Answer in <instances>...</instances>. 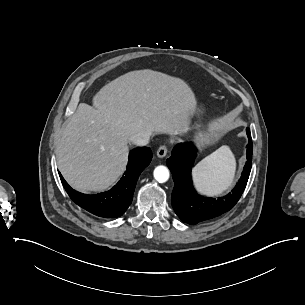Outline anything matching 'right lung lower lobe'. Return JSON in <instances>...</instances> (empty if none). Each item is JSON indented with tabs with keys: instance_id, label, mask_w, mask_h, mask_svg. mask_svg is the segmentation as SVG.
<instances>
[{
	"instance_id": "1",
	"label": "right lung lower lobe",
	"mask_w": 305,
	"mask_h": 305,
	"mask_svg": "<svg viewBox=\"0 0 305 305\" xmlns=\"http://www.w3.org/2000/svg\"><path fill=\"white\" fill-rule=\"evenodd\" d=\"M152 159V152L148 147L136 148L129 154V162L125 176L111 190L97 195H86L73 190L59 173L61 182L77 205L90 213L115 218L123 215L132 203L133 193L140 173Z\"/></svg>"
}]
</instances>
